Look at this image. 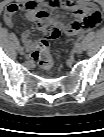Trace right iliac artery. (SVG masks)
Returning <instances> with one entry per match:
<instances>
[{
  "instance_id": "obj_1",
  "label": "right iliac artery",
  "mask_w": 104,
  "mask_h": 137,
  "mask_svg": "<svg viewBox=\"0 0 104 137\" xmlns=\"http://www.w3.org/2000/svg\"><path fill=\"white\" fill-rule=\"evenodd\" d=\"M16 45L18 46V48H21V44L19 43V41H16Z\"/></svg>"
}]
</instances>
